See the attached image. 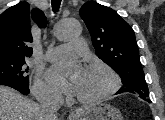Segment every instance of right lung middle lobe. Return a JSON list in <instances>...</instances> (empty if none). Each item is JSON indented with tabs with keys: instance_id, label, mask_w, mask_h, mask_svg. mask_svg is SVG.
<instances>
[{
	"instance_id": "1",
	"label": "right lung middle lobe",
	"mask_w": 165,
	"mask_h": 120,
	"mask_svg": "<svg viewBox=\"0 0 165 120\" xmlns=\"http://www.w3.org/2000/svg\"><path fill=\"white\" fill-rule=\"evenodd\" d=\"M27 72L25 58L0 59V82H14L29 86Z\"/></svg>"
}]
</instances>
